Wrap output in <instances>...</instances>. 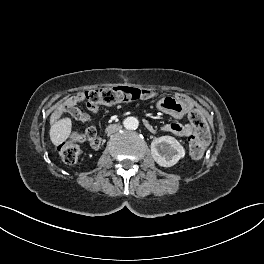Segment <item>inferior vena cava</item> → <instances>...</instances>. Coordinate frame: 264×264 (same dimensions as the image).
Listing matches in <instances>:
<instances>
[{"instance_id":"inferior-vena-cava-1","label":"inferior vena cava","mask_w":264,"mask_h":264,"mask_svg":"<svg viewBox=\"0 0 264 264\" xmlns=\"http://www.w3.org/2000/svg\"><path fill=\"white\" fill-rule=\"evenodd\" d=\"M122 126H118L116 129H113L109 134L112 135H116L118 132H120L122 130Z\"/></svg>"}]
</instances>
